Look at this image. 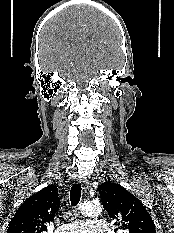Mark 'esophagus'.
Masks as SVG:
<instances>
[{"label": "esophagus", "instance_id": "esophagus-1", "mask_svg": "<svg viewBox=\"0 0 174 233\" xmlns=\"http://www.w3.org/2000/svg\"><path fill=\"white\" fill-rule=\"evenodd\" d=\"M78 181L82 184L84 190L88 189L89 181L87 179L80 177Z\"/></svg>", "mask_w": 174, "mask_h": 233}]
</instances>
